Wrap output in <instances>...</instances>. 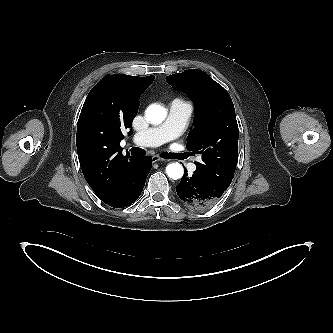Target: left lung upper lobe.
Here are the masks:
<instances>
[{
	"label": "left lung upper lobe",
	"mask_w": 333,
	"mask_h": 333,
	"mask_svg": "<svg viewBox=\"0 0 333 333\" xmlns=\"http://www.w3.org/2000/svg\"><path fill=\"white\" fill-rule=\"evenodd\" d=\"M166 80L196 103L195 128L186 145L192 154H202V162H195L196 172L226 190L238 162L239 131L230 95L202 70H185Z\"/></svg>",
	"instance_id": "left-lung-upper-lobe-1"
}]
</instances>
